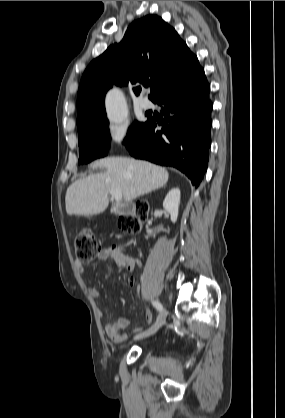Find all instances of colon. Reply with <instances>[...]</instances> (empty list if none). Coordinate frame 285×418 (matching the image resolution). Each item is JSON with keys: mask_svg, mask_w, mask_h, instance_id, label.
I'll return each mask as SVG.
<instances>
[{"mask_svg": "<svg viewBox=\"0 0 285 418\" xmlns=\"http://www.w3.org/2000/svg\"><path fill=\"white\" fill-rule=\"evenodd\" d=\"M146 205L137 206L132 215L119 220L120 228L125 232H138L146 219ZM76 258L81 263L89 262L99 251L97 236L90 230H82L74 237Z\"/></svg>", "mask_w": 285, "mask_h": 418, "instance_id": "obj_1", "label": "colon"}]
</instances>
